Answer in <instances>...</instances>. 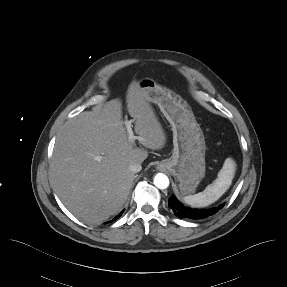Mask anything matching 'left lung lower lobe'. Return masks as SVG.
Returning <instances> with one entry per match:
<instances>
[{
  "mask_svg": "<svg viewBox=\"0 0 287 287\" xmlns=\"http://www.w3.org/2000/svg\"><path fill=\"white\" fill-rule=\"evenodd\" d=\"M169 208L172 212L179 218H189V219H203L217 213L220 209L224 207L221 204L218 207L212 209H191L183 206L174 195H172L168 202Z\"/></svg>",
  "mask_w": 287,
  "mask_h": 287,
  "instance_id": "0a47b994",
  "label": "left lung lower lobe"
}]
</instances>
